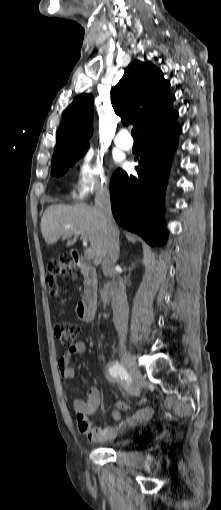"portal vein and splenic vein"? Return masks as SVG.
Instances as JSON below:
<instances>
[{
    "mask_svg": "<svg viewBox=\"0 0 221 510\" xmlns=\"http://www.w3.org/2000/svg\"><path fill=\"white\" fill-rule=\"evenodd\" d=\"M80 234H81V239L83 240V243L86 245L87 241H88L86 235L84 233H80ZM84 255L87 260H91L94 257V251L91 248H86Z\"/></svg>",
    "mask_w": 221,
    "mask_h": 510,
    "instance_id": "obj_1",
    "label": "portal vein and splenic vein"
}]
</instances>
